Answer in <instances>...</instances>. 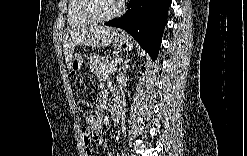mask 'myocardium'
Returning a JSON list of instances; mask_svg holds the SVG:
<instances>
[{
  "label": "myocardium",
  "mask_w": 247,
  "mask_h": 156,
  "mask_svg": "<svg viewBox=\"0 0 247 156\" xmlns=\"http://www.w3.org/2000/svg\"><path fill=\"white\" fill-rule=\"evenodd\" d=\"M95 2L96 1H93V0H86L83 3V14L91 23L101 24V23L111 21L117 18L118 16H120L123 11V5L118 4L113 13L107 16H97L96 14H94L93 9H92V5Z\"/></svg>",
  "instance_id": "1"
}]
</instances>
